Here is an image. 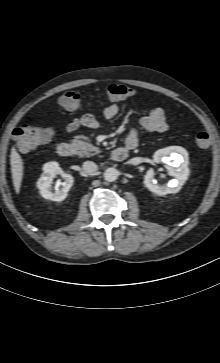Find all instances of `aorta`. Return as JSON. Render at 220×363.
I'll return each instance as SVG.
<instances>
[{
    "instance_id": "762f6f07",
    "label": "aorta",
    "mask_w": 220,
    "mask_h": 363,
    "mask_svg": "<svg viewBox=\"0 0 220 363\" xmlns=\"http://www.w3.org/2000/svg\"><path fill=\"white\" fill-rule=\"evenodd\" d=\"M118 178V170L110 167L107 168L104 172V179L108 182H113Z\"/></svg>"
}]
</instances>
